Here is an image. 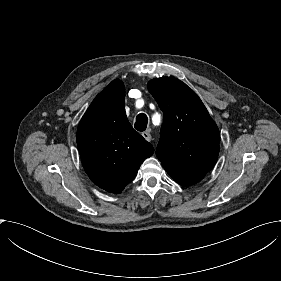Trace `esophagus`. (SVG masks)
I'll use <instances>...</instances> for the list:
<instances>
[{"mask_svg": "<svg viewBox=\"0 0 281 281\" xmlns=\"http://www.w3.org/2000/svg\"><path fill=\"white\" fill-rule=\"evenodd\" d=\"M142 136H143L147 141H151V139H152V136H151L150 133L147 132V131L142 132Z\"/></svg>", "mask_w": 281, "mask_h": 281, "instance_id": "34e87169", "label": "esophagus"}]
</instances>
